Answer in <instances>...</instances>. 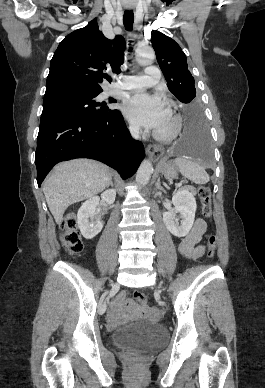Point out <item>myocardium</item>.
<instances>
[{"mask_svg":"<svg viewBox=\"0 0 265 388\" xmlns=\"http://www.w3.org/2000/svg\"><path fill=\"white\" fill-rule=\"evenodd\" d=\"M161 90V89H160ZM158 90V91H160ZM182 126V118L172 110L169 111V124L166 129H155L154 136L161 141L173 140Z\"/></svg>","mask_w":265,"mask_h":388,"instance_id":"1","label":"myocardium"}]
</instances>
